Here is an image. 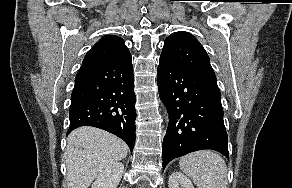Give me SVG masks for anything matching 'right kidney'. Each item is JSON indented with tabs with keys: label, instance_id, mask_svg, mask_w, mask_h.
Returning <instances> with one entry per match:
<instances>
[{
	"label": "right kidney",
	"instance_id": "ca27d5eb",
	"mask_svg": "<svg viewBox=\"0 0 292 188\" xmlns=\"http://www.w3.org/2000/svg\"><path fill=\"white\" fill-rule=\"evenodd\" d=\"M124 165L116 162L108 166L95 180L91 188H117L120 183Z\"/></svg>",
	"mask_w": 292,
	"mask_h": 188
}]
</instances>
